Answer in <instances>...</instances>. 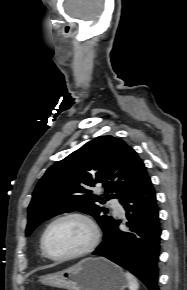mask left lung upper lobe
Segmentation results:
<instances>
[{"instance_id": "left-lung-upper-lobe-1", "label": "left lung upper lobe", "mask_w": 187, "mask_h": 290, "mask_svg": "<svg viewBox=\"0 0 187 290\" xmlns=\"http://www.w3.org/2000/svg\"><path fill=\"white\" fill-rule=\"evenodd\" d=\"M146 175L144 163L123 140L113 136L93 139L51 166L41 178L28 207L26 236L43 221L72 211L94 216L105 231L114 219L96 202L121 200ZM96 184L105 188L102 197L92 193Z\"/></svg>"}]
</instances>
